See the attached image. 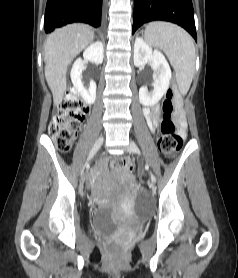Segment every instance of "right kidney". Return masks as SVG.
<instances>
[{
  "instance_id": "obj_1",
  "label": "right kidney",
  "mask_w": 238,
  "mask_h": 278,
  "mask_svg": "<svg viewBox=\"0 0 238 278\" xmlns=\"http://www.w3.org/2000/svg\"><path fill=\"white\" fill-rule=\"evenodd\" d=\"M103 44L101 42H95L92 43L87 49H85L83 53V57L85 60H88L94 64H101L103 62ZM84 70V62L81 58H78L71 69V80L78 91V93L81 95L83 100L87 104H93L95 102L96 98V83L91 80L89 83V87H84L81 78H82V72Z\"/></svg>"
}]
</instances>
